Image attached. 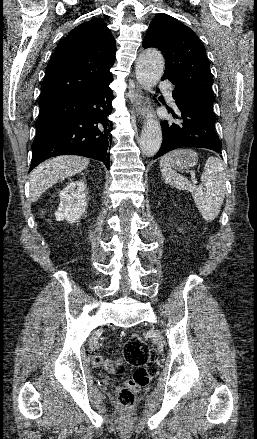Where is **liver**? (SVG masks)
Returning a JSON list of instances; mask_svg holds the SVG:
<instances>
[{"instance_id": "1", "label": "liver", "mask_w": 257, "mask_h": 439, "mask_svg": "<svg viewBox=\"0 0 257 439\" xmlns=\"http://www.w3.org/2000/svg\"><path fill=\"white\" fill-rule=\"evenodd\" d=\"M88 165V159L73 155H62L41 163L30 175L31 201L36 202L48 188L81 172Z\"/></svg>"}]
</instances>
